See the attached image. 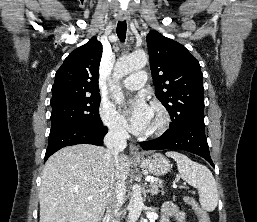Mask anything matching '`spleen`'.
Masks as SVG:
<instances>
[{
	"label": "spleen",
	"mask_w": 257,
	"mask_h": 222,
	"mask_svg": "<svg viewBox=\"0 0 257 222\" xmlns=\"http://www.w3.org/2000/svg\"><path fill=\"white\" fill-rule=\"evenodd\" d=\"M166 155L176 161L181 178L198 189L201 207L213 211L218 204V189L211 171L181 153L169 151Z\"/></svg>",
	"instance_id": "1"
}]
</instances>
